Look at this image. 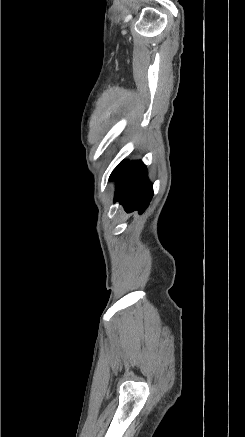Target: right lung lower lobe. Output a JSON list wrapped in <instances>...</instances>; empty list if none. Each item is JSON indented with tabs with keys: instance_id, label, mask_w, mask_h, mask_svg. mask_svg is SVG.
Returning <instances> with one entry per match:
<instances>
[{
	"instance_id": "right-lung-lower-lobe-1",
	"label": "right lung lower lobe",
	"mask_w": 245,
	"mask_h": 437,
	"mask_svg": "<svg viewBox=\"0 0 245 437\" xmlns=\"http://www.w3.org/2000/svg\"><path fill=\"white\" fill-rule=\"evenodd\" d=\"M110 180L117 181L114 202H120L127 212L142 214L145 211L152 199L153 188L142 161L121 162L112 172Z\"/></svg>"
}]
</instances>
